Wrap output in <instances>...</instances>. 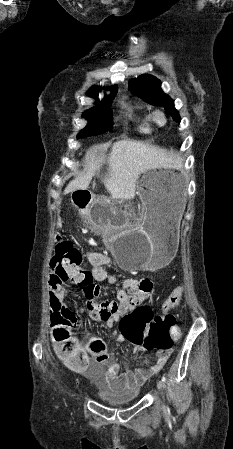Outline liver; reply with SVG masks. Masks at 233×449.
Returning a JSON list of instances; mask_svg holds the SVG:
<instances>
[{
    "label": "liver",
    "mask_w": 233,
    "mask_h": 449,
    "mask_svg": "<svg viewBox=\"0 0 233 449\" xmlns=\"http://www.w3.org/2000/svg\"><path fill=\"white\" fill-rule=\"evenodd\" d=\"M85 160L84 172L67 185L64 193L86 190L95 173H100L103 165H107V172L102 174L106 189L113 198L127 200L136 193L138 177L147 170L164 166L168 153L151 144L121 140L92 147Z\"/></svg>",
    "instance_id": "1"
}]
</instances>
